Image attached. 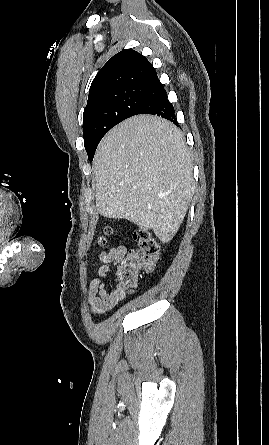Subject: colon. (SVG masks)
I'll use <instances>...</instances> for the list:
<instances>
[{"mask_svg":"<svg viewBox=\"0 0 269 445\" xmlns=\"http://www.w3.org/2000/svg\"><path fill=\"white\" fill-rule=\"evenodd\" d=\"M112 233V227L104 230L99 243L104 244L106 236ZM137 249L131 251L117 266L115 279L119 290L135 287L140 270H151L160 256V246L155 238L145 229L135 232Z\"/></svg>","mask_w":269,"mask_h":445,"instance_id":"1","label":"colon"}]
</instances>
